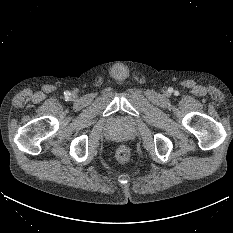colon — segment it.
<instances>
[{"instance_id":"1","label":"colon","mask_w":233,"mask_h":233,"mask_svg":"<svg viewBox=\"0 0 233 233\" xmlns=\"http://www.w3.org/2000/svg\"><path fill=\"white\" fill-rule=\"evenodd\" d=\"M116 159L121 163H126L131 158V151L126 145H120L115 153Z\"/></svg>"}]
</instances>
